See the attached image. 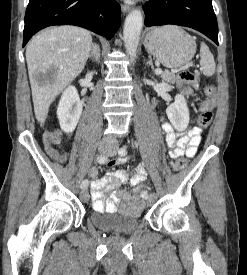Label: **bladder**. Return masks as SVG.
Instances as JSON below:
<instances>
[{
    "mask_svg": "<svg viewBox=\"0 0 247 275\" xmlns=\"http://www.w3.org/2000/svg\"><path fill=\"white\" fill-rule=\"evenodd\" d=\"M90 221L98 228L110 232L129 233L140 223V216L126 215L119 212L97 211L90 216Z\"/></svg>",
    "mask_w": 247,
    "mask_h": 275,
    "instance_id": "bladder-1",
    "label": "bladder"
}]
</instances>
